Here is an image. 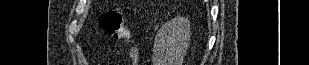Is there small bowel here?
<instances>
[{
	"label": "small bowel",
	"instance_id": "c3829d8e",
	"mask_svg": "<svg viewBox=\"0 0 309 65\" xmlns=\"http://www.w3.org/2000/svg\"><path fill=\"white\" fill-rule=\"evenodd\" d=\"M130 56L133 62L136 63L138 59V52L137 49L134 47V45H131Z\"/></svg>",
	"mask_w": 309,
	"mask_h": 65
}]
</instances>
